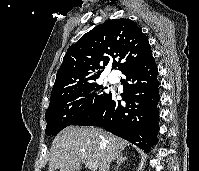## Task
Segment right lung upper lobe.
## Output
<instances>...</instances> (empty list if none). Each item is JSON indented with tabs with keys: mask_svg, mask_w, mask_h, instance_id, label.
<instances>
[{
	"mask_svg": "<svg viewBox=\"0 0 199 171\" xmlns=\"http://www.w3.org/2000/svg\"><path fill=\"white\" fill-rule=\"evenodd\" d=\"M151 55L148 39L134 21L121 18L100 24L68 48L56 75L50 104L96 81L111 60L112 69L122 72Z\"/></svg>",
	"mask_w": 199,
	"mask_h": 171,
	"instance_id": "cb5924a9",
	"label": "right lung upper lobe"
}]
</instances>
